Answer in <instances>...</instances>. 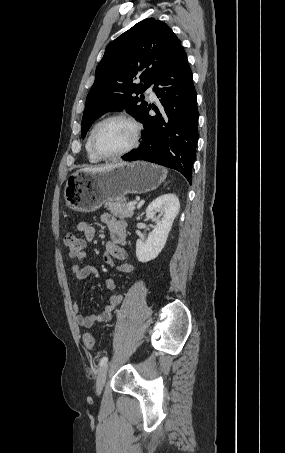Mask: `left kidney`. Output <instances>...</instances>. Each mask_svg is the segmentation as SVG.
<instances>
[{
  "instance_id": "obj_1",
  "label": "left kidney",
  "mask_w": 285,
  "mask_h": 453,
  "mask_svg": "<svg viewBox=\"0 0 285 453\" xmlns=\"http://www.w3.org/2000/svg\"><path fill=\"white\" fill-rule=\"evenodd\" d=\"M179 209V199L171 193L157 197L148 205L146 217L155 221L156 226L147 240L138 239L136 242V257L140 262L151 261L162 251Z\"/></svg>"
}]
</instances>
